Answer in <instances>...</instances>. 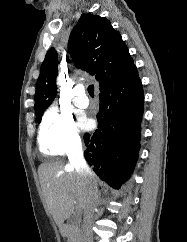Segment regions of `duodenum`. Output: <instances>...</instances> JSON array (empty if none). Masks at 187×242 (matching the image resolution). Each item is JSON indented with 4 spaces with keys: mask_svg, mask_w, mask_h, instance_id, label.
<instances>
[{
    "mask_svg": "<svg viewBox=\"0 0 187 242\" xmlns=\"http://www.w3.org/2000/svg\"><path fill=\"white\" fill-rule=\"evenodd\" d=\"M70 231V226L68 224H62L60 226V232L62 235L66 236Z\"/></svg>",
    "mask_w": 187,
    "mask_h": 242,
    "instance_id": "1",
    "label": "duodenum"
}]
</instances>
